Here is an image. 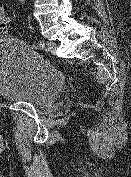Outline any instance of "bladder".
<instances>
[{
    "label": "bladder",
    "instance_id": "1",
    "mask_svg": "<svg viewBox=\"0 0 131 177\" xmlns=\"http://www.w3.org/2000/svg\"><path fill=\"white\" fill-rule=\"evenodd\" d=\"M65 77L13 37L0 38V97L45 106L65 85Z\"/></svg>",
    "mask_w": 131,
    "mask_h": 177
}]
</instances>
